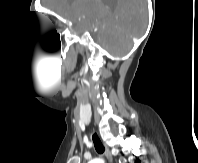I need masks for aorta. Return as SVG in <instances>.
Returning <instances> with one entry per match:
<instances>
[{
    "instance_id": "1",
    "label": "aorta",
    "mask_w": 198,
    "mask_h": 163,
    "mask_svg": "<svg viewBox=\"0 0 198 163\" xmlns=\"http://www.w3.org/2000/svg\"><path fill=\"white\" fill-rule=\"evenodd\" d=\"M88 163H104V161L100 158H95L93 160H90Z\"/></svg>"
}]
</instances>
